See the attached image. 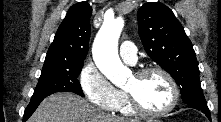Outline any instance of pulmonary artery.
<instances>
[{"label": "pulmonary artery", "mask_w": 221, "mask_h": 122, "mask_svg": "<svg viewBox=\"0 0 221 122\" xmlns=\"http://www.w3.org/2000/svg\"><path fill=\"white\" fill-rule=\"evenodd\" d=\"M121 58L128 64L137 62V48L131 41H124L119 48Z\"/></svg>", "instance_id": "e3ab8cb5"}]
</instances>
